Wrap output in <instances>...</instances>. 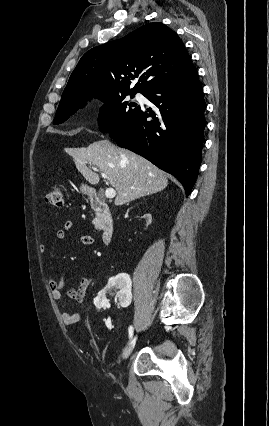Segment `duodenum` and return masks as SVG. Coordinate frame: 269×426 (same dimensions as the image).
Masks as SVG:
<instances>
[{"instance_id": "410a0bca", "label": "duodenum", "mask_w": 269, "mask_h": 426, "mask_svg": "<svg viewBox=\"0 0 269 426\" xmlns=\"http://www.w3.org/2000/svg\"><path fill=\"white\" fill-rule=\"evenodd\" d=\"M88 200L95 213L96 226L102 233L103 241L108 243L114 235V223L104 196L96 191L88 193Z\"/></svg>"}]
</instances>
